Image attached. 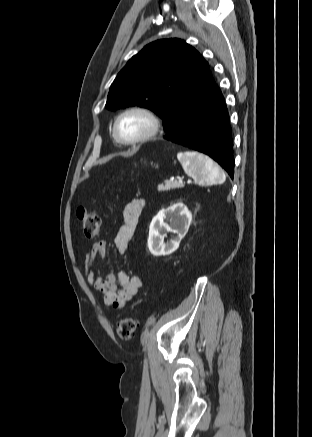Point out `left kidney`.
<instances>
[{
  "instance_id": "left-kidney-1",
  "label": "left kidney",
  "mask_w": 312,
  "mask_h": 437,
  "mask_svg": "<svg viewBox=\"0 0 312 437\" xmlns=\"http://www.w3.org/2000/svg\"><path fill=\"white\" fill-rule=\"evenodd\" d=\"M191 220L192 215L183 203L160 210L149 227L148 248L151 254L162 256L176 251L189 229ZM166 232L174 234L169 242H164Z\"/></svg>"
}]
</instances>
